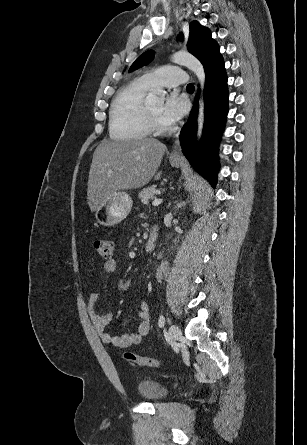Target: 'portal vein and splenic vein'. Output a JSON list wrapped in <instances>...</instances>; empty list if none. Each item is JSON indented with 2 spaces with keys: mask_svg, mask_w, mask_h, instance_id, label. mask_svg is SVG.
<instances>
[{
  "mask_svg": "<svg viewBox=\"0 0 307 445\" xmlns=\"http://www.w3.org/2000/svg\"><path fill=\"white\" fill-rule=\"evenodd\" d=\"M162 198H156V200H153L152 204L153 206H158V204H161Z\"/></svg>",
  "mask_w": 307,
  "mask_h": 445,
  "instance_id": "obj_1",
  "label": "portal vein and splenic vein"
}]
</instances>
